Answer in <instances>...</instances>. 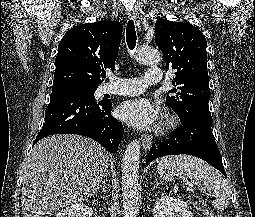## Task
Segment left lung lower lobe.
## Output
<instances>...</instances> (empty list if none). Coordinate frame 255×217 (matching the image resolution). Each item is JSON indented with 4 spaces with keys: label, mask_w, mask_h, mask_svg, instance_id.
<instances>
[{
    "label": "left lung lower lobe",
    "mask_w": 255,
    "mask_h": 217,
    "mask_svg": "<svg viewBox=\"0 0 255 217\" xmlns=\"http://www.w3.org/2000/svg\"><path fill=\"white\" fill-rule=\"evenodd\" d=\"M181 124L182 126L175 130L169 139L152 146L146 163L166 155L188 154L205 160L226 176L220 151L211 130V115L199 113L181 120Z\"/></svg>",
    "instance_id": "1"
}]
</instances>
